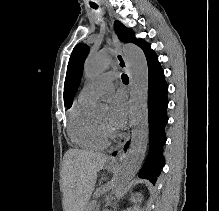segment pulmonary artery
<instances>
[{"mask_svg":"<svg viewBox=\"0 0 219 211\" xmlns=\"http://www.w3.org/2000/svg\"><path fill=\"white\" fill-rule=\"evenodd\" d=\"M117 75L113 72L99 74L92 81L86 84L79 93V99L94 102L101 95L113 89V81Z\"/></svg>","mask_w":219,"mask_h":211,"instance_id":"e3ab8cb5","label":"pulmonary artery"}]
</instances>
